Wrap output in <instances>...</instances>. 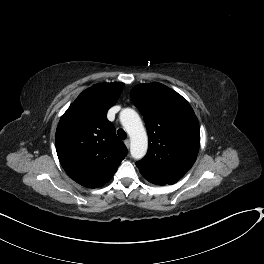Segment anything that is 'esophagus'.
<instances>
[{"label": "esophagus", "instance_id": "obj_1", "mask_svg": "<svg viewBox=\"0 0 264 264\" xmlns=\"http://www.w3.org/2000/svg\"><path fill=\"white\" fill-rule=\"evenodd\" d=\"M124 143H125L126 147L129 148V146H130V140L129 139H126L124 141Z\"/></svg>", "mask_w": 264, "mask_h": 264}]
</instances>
